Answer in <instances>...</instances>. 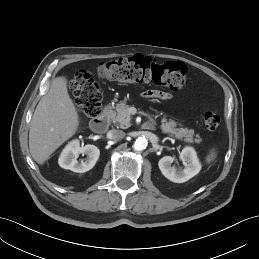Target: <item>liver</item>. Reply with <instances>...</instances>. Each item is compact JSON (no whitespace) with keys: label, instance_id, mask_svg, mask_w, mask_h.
<instances>
[{"label":"liver","instance_id":"6515ba94","mask_svg":"<svg viewBox=\"0 0 259 259\" xmlns=\"http://www.w3.org/2000/svg\"><path fill=\"white\" fill-rule=\"evenodd\" d=\"M79 127V115L63 76L52 80L49 91L39 101L29 130V149L42 165Z\"/></svg>","mask_w":259,"mask_h":259}]
</instances>
